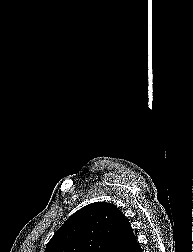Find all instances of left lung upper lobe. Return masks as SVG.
Wrapping results in <instances>:
<instances>
[{"mask_svg":"<svg viewBox=\"0 0 193 252\" xmlns=\"http://www.w3.org/2000/svg\"><path fill=\"white\" fill-rule=\"evenodd\" d=\"M133 236L129 221L115 205L95 202L75 212L45 252H123Z\"/></svg>","mask_w":193,"mask_h":252,"instance_id":"obj_1","label":"left lung upper lobe"}]
</instances>
